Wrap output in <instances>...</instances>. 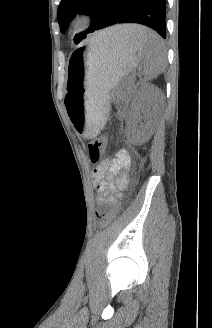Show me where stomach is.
Wrapping results in <instances>:
<instances>
[{
	"label": "stomach",
	"instance_id": "obj_1",
	"mask_svg": "<svg viewBox=\"0 0 212 328\" xmlns=\"http://www.w3.org/2000/svg\"><path fill=\"white\" fill-rule=\"evenodd\" d=\"M142 58L132 40H90L70 56L66 80L67 115L80 135L94 138L104 126L110 92Z\"/></svg>",
	"mask_w": 212,
	"mask_h": 328
}]
</instances>
